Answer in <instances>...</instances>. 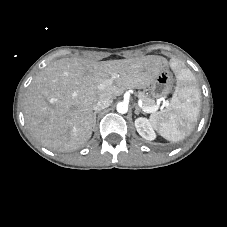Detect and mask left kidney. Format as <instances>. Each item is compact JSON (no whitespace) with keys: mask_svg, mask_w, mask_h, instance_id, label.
Segmentation results:
<instances>
[{"mask_svg":"<svg viewBox=\"0 0 227 227\" xmlns=\"http://www.w3.org/2000/svg\"><path fill=\"white\" fill-rule=\"evenodd\" d=\"M137 132L146 140H154L156 134L151 122L147 118L139 117L135 120Z\"/></svg>","mask_w":227,"mask_h":227,"instance_id":"1","label":"left kidney"}]
</instances>
